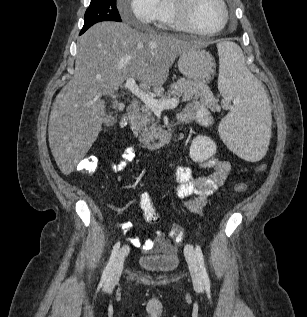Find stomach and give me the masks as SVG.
<instances>
[{
	"label": "stomach",
	"mask_w": 307,
	"mask_h": 317,
	"mask_svg": "<svg viewBox=\"0 0 307 317\" xmlns=\"http://www.w3.org/2000/svg\"><path fill=\"white\" fill-rule=\"evenodd\" d=\"M214 67L212 55L199 47H190L179 56L178 69L190 80L210 82Z\"/></svg>",
	"instance_id": "1"
}]
</instances>
